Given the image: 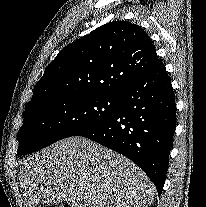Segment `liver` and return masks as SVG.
<instances>
[{"instance_id": "liver-1", "label": "liver", "mask_w": 206, "mask_h": 207, "mask_svg": "<svg viewBox=\"0 0 206 207\" xmlns=\"http://www.w3.org/2000/svg\"><path fill=\"white\" fill-rule=\"evenodd\" d=\"M29 207L67 202L70 207H148L155 188L126 157L73 136L27 157L19 172Z\"/></svg>"}]
</instances>
